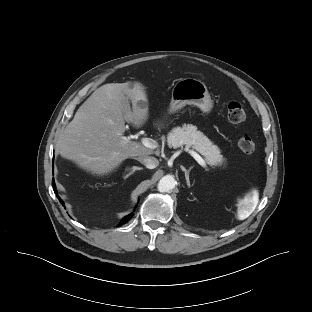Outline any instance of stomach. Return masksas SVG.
Wrapping results in <instances>:
<instances>
[{
  "instance_id": "1",
  "label": "stomach",
  "mask_w": 312,
  "mask_h": 312,
  "mask_svg": "<svg viewBox=\"0 0 312 312\" xmlns=\"http://www.w3.org/2000/svg\"><path fill=\"white\" fill-rule=\"evenodd\" d=\"M185 105H194L203 113H210L213 108V101L203 82L194 78H185L175 84L172 89L169 112L174 113Z\"/></svg>"
}]
</instances>
